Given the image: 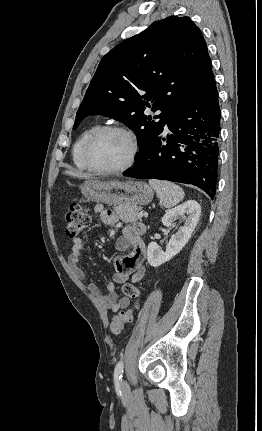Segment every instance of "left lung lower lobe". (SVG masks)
<instances>
[{
  "label": "left lung lower lobe",
  "mask_w": 262,
  "mask_h": 431,
  "mask_svg": "<svg viewBox=\"0 0 262 431\" xmlns=\"http://www.w3.org/2000/svg\"><path fill=\"white\" fill-rule=\"evenodd\" d=\"M220 107L216 83L187 102L167 122L173 134L155 138L123 175L197 186L216 193Z\"/></svg>",
  "instance_id": "0a47b994"
}]
</instances>
